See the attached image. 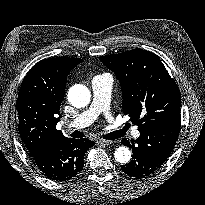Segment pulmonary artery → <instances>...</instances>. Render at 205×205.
Masks as SVG:
<instances>
[{"mask_svg":"<svg viewBox=\"0 0 205 205\" xmlns=\"http://www.w3.org/2000/svg\"><path fill=\"white\" fill-rule=\"evenodd\" d=\"M113 77L110 74L96 75L91 80V89L93 93L91 104L82 113L76 116L70 123L71 128H85L91 125L100 114H104L107 120L114 119V112L111 109V91ZM134 138L140 136L139 130L132 129Z\"/></svg>","mask_w":205,"mask_h":205,"instance_id":"1","label":"pulmonary artery"}]
</instances>
